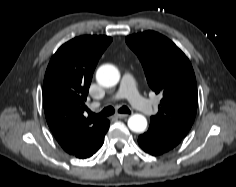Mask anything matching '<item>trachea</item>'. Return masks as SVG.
Instances as JSON below:
<instances>
[{
  "label": "trachea",
  "mask_w": 236,
  "mask_h": 187,
  "mask_svg": "<svg viewBox=\"0 0 236 187\" xmlns=\"http://www.w3.org/2000/svg\"><path fill=\"white\" fill-rule=\"evenodd\" d=\"M114 112H115V109L111 106L104 108L99 114L92 113L91 111L88 110V113H89L90 117H107V116H110V115L114 114ZM118 112L119 113L130 114L131 111L129 110L128 107L122 106L118 110Z\"/></svg>",
  "instance_id": "1"
}]
</instances>
